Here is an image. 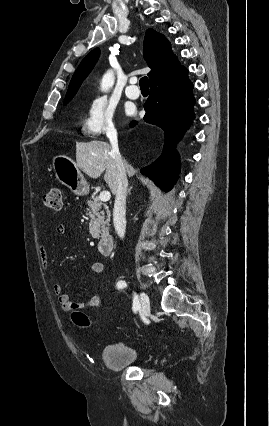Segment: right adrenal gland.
I'll list each match as a JSON object with an SVG mask.
<instances>
[{
	"label": "right adrenal gland",
	"instance_id": "2a0ac1e0",
	"mask_svg": "<svg viewBox=\"0 0 269 426\" xmlns=\"http://www.w3.org/2000/svg\"><path fill=\"white\" fill-rule=\"evenodd\" d=\"M131 190H132V187H130V189H129V193H131Z\"/></svg>",
	"mask_w": 269,
	"mask_h": 426
}]
</instances>
